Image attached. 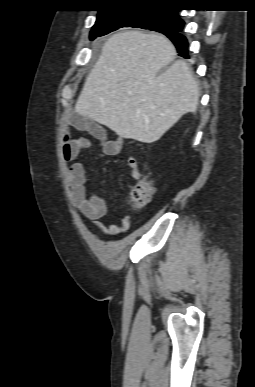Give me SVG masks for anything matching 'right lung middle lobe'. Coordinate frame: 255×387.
<instances>
[{
  "instance_id": "dd1d6c3e",
  "label": "right lung middle lobe",
  "mask_w": 255,
  "mask_h": 387,
  "mask_svg": "<svg viewBox=\"0 0 255 387\" xmlns=\"http://www.w3.org/2000/svg\"><path fill=\"white\" fill-rule=\"evenodd\" d=\"M184 22L177 13L167 8L147 11L134 9L124 12L99 13L90 33V39L106 35L121 27L151 29L158 32L180 30Z\"/></svg>"
}]
</instances>
